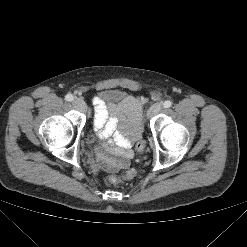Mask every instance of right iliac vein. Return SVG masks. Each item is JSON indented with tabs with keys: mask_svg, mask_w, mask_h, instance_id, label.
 <instances>
[{
	"mask_svg": "<svg viewBox=\"0 0 247 247\" xmlns=\"http://www.w3.org/2000/svg\"><path fill=\"white\" fill-rule=\"evenodd\" d=\"M72 104L78 110L83 111V112L86 111V103L81 98H75L72 101Z\"/></svg>",
	"mask_w": 247,
	"mask_h": 247,
	"instance_id": "1",
	"label": "right iliac vein"
}]
</instances>
